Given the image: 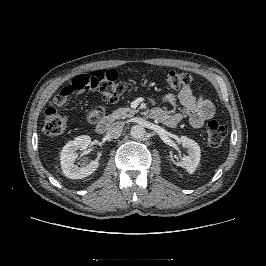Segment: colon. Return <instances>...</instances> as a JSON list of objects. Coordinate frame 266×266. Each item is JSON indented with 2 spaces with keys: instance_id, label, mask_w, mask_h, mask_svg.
Masks as SVG:
<instances>
[{
  "instance_id": "colon-1",
  "label": "colon",
  "mask_w": 266,
  "mask_h": 266,
  "mask_svg": "<svg viewBox=\"0 0 266 266\" xmlns=\"http://www.w3.org/2000/svg\"><path fill=\"white\" fill-rule=\"evenodd\" d=\"M164 80L170 90H179L191 85L194 81L190 73L169 70ZM128 81L119 77L114 70H99L75 76L71 82L62 88L55 97L53 104L49 105L44 113V132L47 136L61 135L67 125L66 118L61 115L57 107L64 105L67 98L75 91L96 89L102 99L108 103L118 102L128 88ZM102 114V110L98 112ZM227 135L225 126L217 121H210L206 127V143L210 147H219Z\"/></svg>"
}]
</instances>
